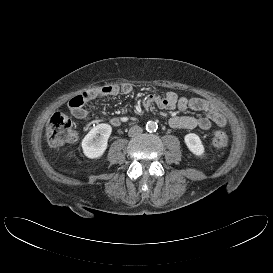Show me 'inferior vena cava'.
Here are the masks:
<instances>
[{"instance_id":"inferior-vena-cava-1","label":"inferior vena cava","mask_w":273,"mask_h":273,"mask_svg":"<svg viewBox=\"0 0 273 273\" xmlns=\"http://www.w3.org/2000/svg\"><path fill=\"white\" fill-rule=\"evenodd\" d=\"M142 132H143V129L140 126L135 125L129 129L128 135L130 137H136L140 135Z\"/></svg>"}]
</instances>
